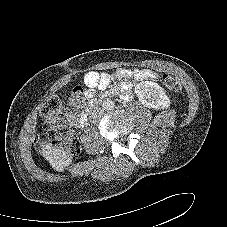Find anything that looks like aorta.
<instances>
[{"label":"aorta","mask_w":227,"mask_h":227,"mask_svg":"<svg viewBox=\"0 0 227 227\" xmlns=\"http://www.w3.org/2000/svg\"><path fill=\"white\" fill-rule=\"evenodd\" d=\"M103 108L105 110H112L115 107V103L113 100L111 99H106L103 104H102Z\"/></svg>","instance_id":"obj_1"}]
</instances>
